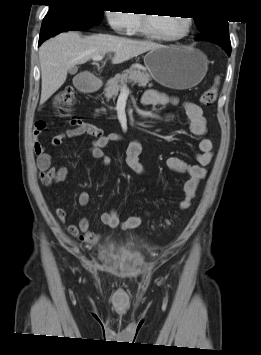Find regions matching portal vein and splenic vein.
Segmentation results:
<instances>
[{
  "mask_svg": "<svg viewBox=\"0 0 261 355\" xmlns=\"http://www.w3.org/2000/svg\"><path fill=\"white\" fill-rule=\"evenodd\" d=\"M104 58V55H98V56H94L92 58L93 61H100ZM122 91H127V87L124 85L121 89Z\"/></svg>",
  "mask_w": 261,
  "mask_h": 355,
  "instance_id": "18ae733b",
  "label": "portal vein and splenic vein"
}]
</instances>
